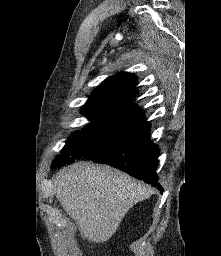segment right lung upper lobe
Masks as SVG:
<instances>
[{
  "label": "right lung upper lobe",
  "mask_w": 221,
  "mask_h": 256,
  "mask_svg": "<svg viewBox=\"0 0 221 256\" xmlns=\"http://www.w3.org/2000/svg\"><path fill=\"white\" fill-rule=\"evenodd\" d=\"M137 78L122 72L106 79L96 88L83 106L84 110L113 109L125 112L133 117H141V111L131 101L137 95L134 87Z\"/></svg>",
  "instance_id": "1"
}]
</instances>
